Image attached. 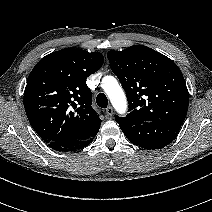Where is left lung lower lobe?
Here are the masks:
<instances>
[{"label": "left lung lower lobe", "mask_w": 212, "mask_h": 212, "mask_svg": "<svg viewBox=\"0 0 212 212\" xmlns=\"http://www.w3.org/2000/svg\"><path fill=\"white\" fill-rule=\"evenodd\" d=\"M181 124L151 121L141 122L132 126L121 128L125 136L134 145L154 150L169 145L177 136Z\"/></svg>", "instance_id": "0a47b994"}]
</instances>
